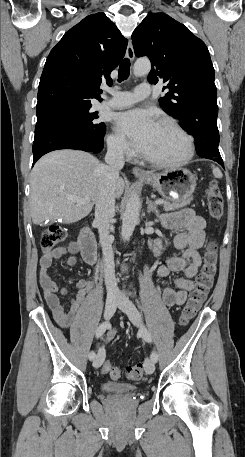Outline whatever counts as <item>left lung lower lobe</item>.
<instances>
[{
    "label": "left lung lower lobe",
    "instance_id": "obj_1",
    "mask_svg": "<svg viewBox=\"0 0 245 457\" xmlns=\"http://www.w3.org/2000/svg\"><path fill=\"white\" fill-rule=\"evenodd\" d=\"M217 118L209 115H202L201 118L188 122L182 127L188 134H191L196 142L198 155L216 161L224 168L218 150L219 132Z\"/></svg>",
    "mask_w": 245,
    "mask_h": 457
}]
</instances>
